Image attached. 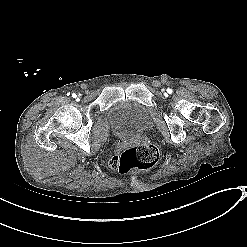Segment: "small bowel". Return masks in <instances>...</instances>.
<instances>
[{"label": "small bowel", "instance_id": "1", "mask_svg": "<svg viewBox=\"0 0 247 247\" xmlns=\"http://www.w3.org/2000/svg\"><path fill=\"white\" fill-rule=\"evenodd\" d=\"M109 161H110V164L108 166L109 171L112 173L117 172L119 169V166H118V163L120 161L119 156L116 154H113L110 156Z\"/></svg>", "mask_w": 247, "mask_h": 247}]
</instances>
